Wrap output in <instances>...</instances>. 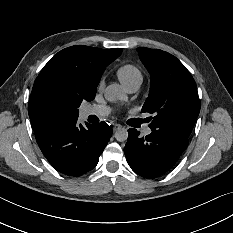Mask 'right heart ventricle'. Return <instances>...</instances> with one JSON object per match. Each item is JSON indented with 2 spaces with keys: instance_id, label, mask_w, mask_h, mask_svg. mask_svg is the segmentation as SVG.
I'll return each instance as SVG.
<instances>
[{
  "instance_id": "e07e8e85",
  "label": "right heart ventricle",
  "mask_w": 233,
  "mask_h": 233,
  "mask_svg": "<svg viewBox=\"0 0 233 233\" xmlns=\"http://www.w3.org/2000/svg\"><path fill=\"white\" fill-rule=\"evenodd\" d=\"M116 75L125 88L132 86L139 87L143 81L140 67L132 62L121 64L116 70Z\"/></svg>"
}]
</instances>
